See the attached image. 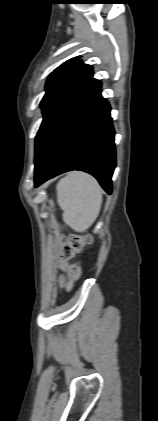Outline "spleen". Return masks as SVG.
I'll return each mask as SVG.
<instances>
[{
  "label": "spleen",
  "instance_id": "1",
  "mask_svg": "<svg viewBox=\"0 0 158 421\" xmlns=\"http://www.w3.org/2000/svg\"><path fill=\"white\" fill-rule=\"evenodd\" d=\"M56 190L64 222L77 232L88 229L98 217L102 204L97 180L83 172H71L57 183Z\"/></svg>",
  "mask_w": 158,
  "mask_h": 421
}]
</instances>
